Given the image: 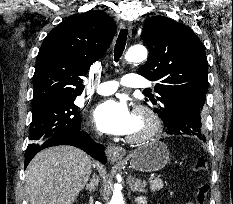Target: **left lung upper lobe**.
Listing matches in <instances>:
<instances>
[{
  "mask_svg": "<svg viewBox=\"0 0 233 204\" xmlns=\"http://www.w3.org/2000/svg\"><path fill=\"white\" fill-rule=\"evenodd\" d=\"M142 38L150 55L138 73L158 82L154 87L158 96L146 99V104L161 118L165 115V106L180 96L201 99L204 105L208 63L197 35L184 24L165 16H154L145 23ZM197 132L187 128L179 134ZM199 132L202 133L201 128Z\"/></svg>",
  "mask_w": 233,
  "mask_h": 204,
  "instance_id": "left-lung-upper-lobe-1",
  "label": "left lung upper lobe"
}]
</instances>
